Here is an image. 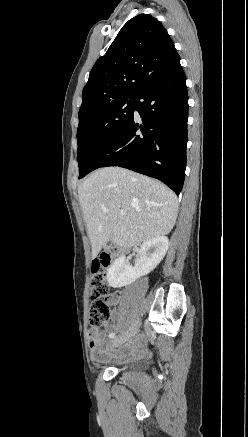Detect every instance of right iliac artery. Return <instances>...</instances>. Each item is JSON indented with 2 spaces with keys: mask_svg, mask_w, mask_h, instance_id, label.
Returning a JSON list of instances; mask_svg holds the SVG:
<instances>
[{
  "mask_svg": "<svg viewBox=\"0 0 248 437\" xmlns=\"http://www.w3.org/2000/svg\"><path fill=\"white\" fill-rule=\"evenodd\" d=\"M109 337H110V338H114V337H115V334H114V333H111V334L109 335Z\"/></svg>",
  "mask_w": 248,
  "mask_h": 437,
  "instance_id": "obj_1",
  "label": "right iliac artery"
}]
</instances>
